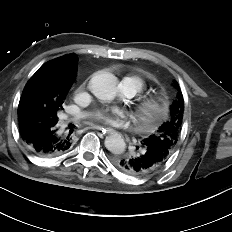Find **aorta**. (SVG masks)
Wrapping results in <instances>:
<instances>
[{"label": "aorta", "instance_id": "aorta-1", "mask_svg": "<svg viewBox=\"0 0 232 232\" xmlns=\"http://www.w3.org/2000/svg\"><path fill=\"white\" fill-rule=\"evenodd\" d=\"M117 78L109 72H98L90 80V88L93 94L101 99L110 101L117 94ZM105 147L114 154H121L126 147V143L122 136L118 133H113L106 137Z\"/></svg>", "mask_w": 232, "mask_h": 232}]
</instances>
